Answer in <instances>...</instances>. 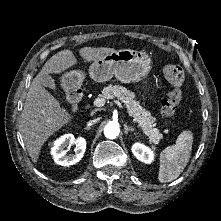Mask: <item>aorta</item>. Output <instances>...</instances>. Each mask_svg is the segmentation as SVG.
<instances>
[{"label": "aorta", "mask_w": 221, "mask_h": 221, "mask_svg": "<svg viewBox=\"0 0 221 221\" xmlns=\"http://www.w3.org/2000/svg\"><path fill=\"white\" fill-rule=\"evenodd\" d=\"M120 129L117 123L110 122L104 127V135L108 139H115L119 135Z\"/></svg>", "instance_id": "obj_1"}]
</instances>
